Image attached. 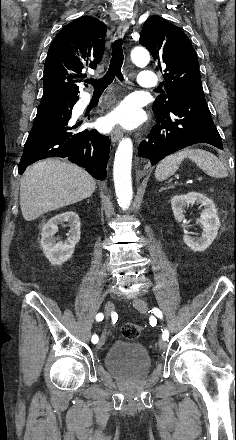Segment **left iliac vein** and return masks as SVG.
<instances>
[{"instance_id":"obj_1","label":"left iliac vein","mask_w":236,"mask_h":440,"mask_svg":"<svg viewBox=\"0 0 236 440\" xmlns=\"http://www.w3.org/2000/svg\"><path fill=\"white\" fill-rule=\"evenodd\" d=\"M133 306L141 313H146L149 310L148 303L142 298H135L132 302ZM167 346L166 340L163 338L159 341L160 349H165Z\"/></svg>"}]
</instances>
